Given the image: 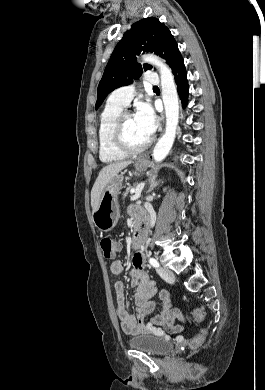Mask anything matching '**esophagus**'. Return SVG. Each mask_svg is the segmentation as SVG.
<instances>
[{
    "instance_id": "1",
    "label": "esophagus",
    "mask_w": 265,
    "mask_h": 390,
    "mask_svg": "<svg viewBox=\"0 0 265 390\" xmlns=\"http://www.w3.org/2000/svg\"><path fill=\"white\" fill-rule=\"evenodd\" d=\"M164 119V116L162 115V120Z\"/></svg>"
}]
</instances>
